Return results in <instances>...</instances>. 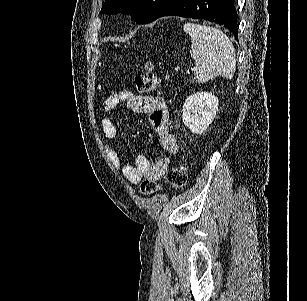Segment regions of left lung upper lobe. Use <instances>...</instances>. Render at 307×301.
I'll return each instance as SVG.
<instances>
[{
	"label": "left lung upper lobe",
	"mask_w": 307,
	"mask_h": 301,
	"mask_svg": "<svg viewBox=\"0 0 307 301\" xmlns=\"http://www.w3.org/2000/svg\"><path fill=\"white\" fill-rule=\"evenodd\" d=\"M175 0H106L101 12L105 14L123 13L131 15L139 24L156 20Z\"/></svg>",
	"instance_id": "left-lung-upper-lobe-1"
}]
</instances>
